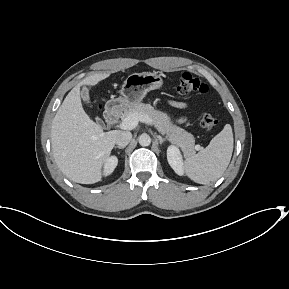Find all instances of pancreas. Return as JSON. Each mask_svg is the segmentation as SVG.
Here are the masks:
<instances>
[{
  "label": "pancreas",
  "mask_w": 289,
  "mask_h": 289,
  "mask_svg": "<svg viewBox=\"0 0 289 289\" xmlns=\"http://www.w3.org/2000/svg\"><path fill=\"white\" fill-rule=\"evenodd\" d=\"M137 114L147 115L153 121L155 127L162 133L166 134V138L175 144L181 146L187 153H193L195 150V139L191 133L186 132L183 128L176 126L171 121L167 113L156 110L150 104L138 103L129 109H126L122 114V118Z\"/></svg>",
  "instance_id": "obj_1"
}]
</instances>
